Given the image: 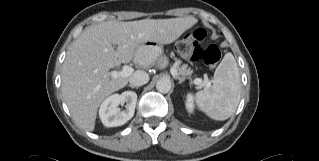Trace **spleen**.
<instances>
[{"label":"spleen","instance_id":"obj_1","mask_svg":"<svg viewBox=\"0 0 319 161\" xmlns=\"http://www.w3.org/2000/svg\"><path fill=\"white\" fill-rule=\"evenodd\" d=\"M241 94L239 70L232 53H227L214 73L213 85L196 93L198 108L214 120H226L237 109Z\"/></svg>","mask_w":319,"mask_h":161}]
</instances>
